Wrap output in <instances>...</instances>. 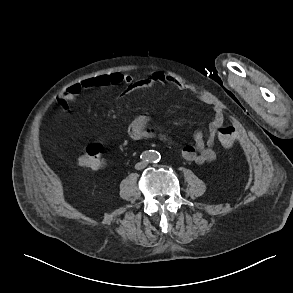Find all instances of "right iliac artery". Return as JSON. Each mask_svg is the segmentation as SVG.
Listing matches in <instances>:
<instances>
[{"label":"right iliac artery","instance_id":"1","mask_svg":"<svg viewBox=\"0 0 293 293\" xmlns=\"http://www.w3.org/2000/svg\"><path fill=\"white\" fill-rule=\"evenodd\" d=\"M140 158L144 161H149L151 159V154L149 152H144L141 154Z\"/></svg>","mask_w":293,"mask_h":293}]
</instances>
